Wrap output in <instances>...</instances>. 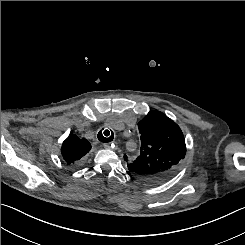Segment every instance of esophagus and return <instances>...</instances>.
<instances>
[{"label":"esophagus","mask_w":245,"mask_h":245,"mask_svg":"<svg viewBox=\"0 0 245 245\" xmlns=\"http://www.w3.org/2000/svg\"><path fill=\"white\" fill-rule=\"evenodd\" d=\"M103 147H104L105 149H110V148L112 147V144H110V143H104V144H103Z\"/></svg>","instance_id":"esophagus-1"}]
</instances>
